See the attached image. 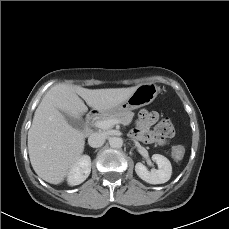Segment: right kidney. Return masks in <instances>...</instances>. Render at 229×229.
<instances>
[{"label":"right kidney","mask_w":229,"mask_h":229,"mask_svg":"<svg viewBox=\"0 0 229 229\" xmlns=\"http://www.w3.org/2000/svg\"><path fill=\"white\" fill-rule=\"evenodd\" d=\"M90 172L91 158L88 155H83L69 171L67 177L68 184L70 186L81 184L88 178Z\"/></svg>","instance_id":"ca27d5eb"}]
</instances>
